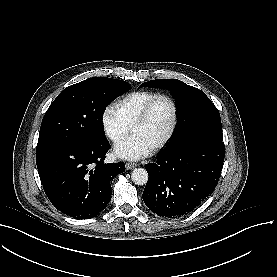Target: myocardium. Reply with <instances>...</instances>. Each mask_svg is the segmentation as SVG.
Masks as SVG:
<instances>
[{"mask_svg":"<svg viewBox=\"0 0 277 277\" xmlns=\"http://www.w3.org/2000/svg\"><path fill=\"white\" fill-rule=\"evenodd\" d=\"M157 101H165L166 103H168V105L170 106V109H171V115H170L169 123L167 125V128H166L163 136L158 141L151 144V148L153 150L158 149V148L162 147L164 144H166L174 132V129L176 126V120H177V108L171 98H169L168 96H165V95L155 96L153 98V100H151L146 105V107L143 109V111L141 112V114L139 115V117L137 118V120L135 121V123L133 124L132 129H131L132 133H134V134L139 133V129L145 122V119L147 117V114H148L150 108Z\"/></svg>","mask_w":277,"mask_h":277,"instance_id":"myocardium-1","label":"myocardium"}]
</instances>
